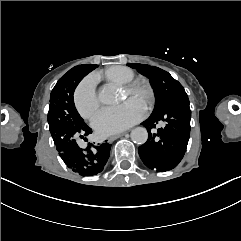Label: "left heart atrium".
Here are the masks:
<instances>
[{"mask_svg": "<svg viewBox=\"0 0 241 241\" xmlns=\"http://www.w3.org/2000/svg\"><path fill=\"white\" fill-rule=\"evenodd\" d=\"M144 118V111L123 108H104L92 118V126L102 135L109 136L126 131Z\"/></svg>", "mask_w": 241, "mask_h": 241, "instance_id": "obj_1", "label": "left heart atrium"}]
</instances>
